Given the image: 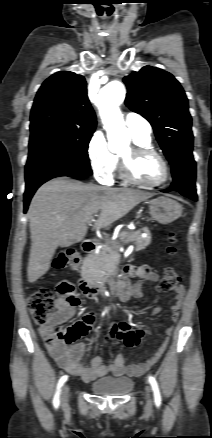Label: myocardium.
<instances>
[{"label":"myocardium","mask_w":212,"mask_h":438,"mask_svg":"<svg viewBox=\"0 0 212 438\" xmlns=\"http://www.w3.org/2000/svg\"><path fill=\"white\" fill-rule=\"evenodd\" d=\"M144 155H153L155 157H157L163 167V171H164V176L163 178L156 183H146L143 181L138 180L132 172V164L134 162V160L140 156H144ZM120 175L121 177L134 185L137 186H141V187H146V188H154V187H159L164 185L165 183L168 182L169 178H170V167L168 164V161L166 160V158L157 150L153 149L152 147H148V146H140V145H133L130 148V152L128 155L120 156Z\"/></svg>","instance_id":"myocardium-1"}]
</instances>
